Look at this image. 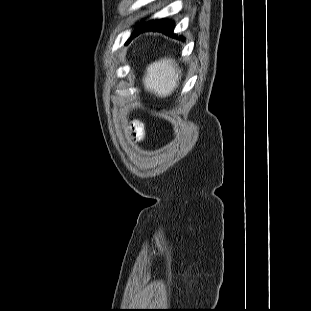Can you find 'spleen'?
I'll return each mask as SVG.
<instances>
[{"mask_svg": "<svg viewBox=\"0 0 311 311\" xmlns=\"http://www.w3.org/2000/svg\"><path fill=\"white\" fill-rule=\"evenodd\" d=\"M181 70L173 59L165 58L149 65L143 79L145 89L159 97L170 95L179 84Z\"/></svg>", "mask_w": 311, "mask_h": 311, "instance_id": "1", "label": "spleen"}]
</instances>
